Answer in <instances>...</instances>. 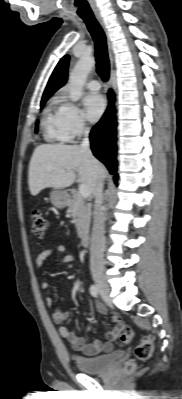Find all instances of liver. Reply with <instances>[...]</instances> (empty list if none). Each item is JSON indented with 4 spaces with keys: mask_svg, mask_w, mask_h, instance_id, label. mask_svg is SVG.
<instances>
[{
    "mask_svg": "<svg viewBox=\"0 0 182 399\" xmlns=\"http://www.w3.org/2000/svg\"><path fill=\"white\" fill-rule=\"evenodd\" d=\"M76 172L82 184L94 194L97 180L106 176L105 167L77 145L42 144L35 148L29 163L28 184L36 196L42 189H64L72 185Z\"/></svg>",
    "mask_w": 182,
    "mask_h": 399,
    "instance_id": "6515ba94",
    "label": "liver"
}]
</instances>
